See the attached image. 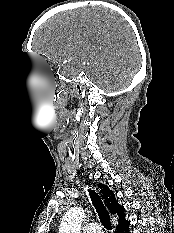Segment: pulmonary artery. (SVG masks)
Here are the masks:
<instances>
[{
    "label": "pulmonary artery",
    "instance_id": "obj_1",
    "mask_svg": "<svg viewBox=\"0 0 174 233\" xmlns=\"http://www.w3.org/2000/svg\"><path fill=\"white\" fill-rule=\"evenodd\" d=\"M83 233H103L97 223H88L83 227Z\"/></svg>",
    "mask_w": 174,
    "mask_h": 233
}]
</instances>
